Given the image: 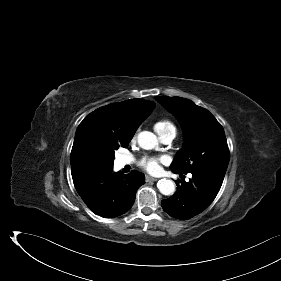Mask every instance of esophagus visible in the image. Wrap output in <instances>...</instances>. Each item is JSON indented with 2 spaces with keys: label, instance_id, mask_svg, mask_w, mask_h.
Segmentation results:
<instances>
[{
  "label": "esophagus",
  "instance_id": "esophagus-1",
  "mask_svg": "<svg viewBox=\"0 0 281 281\" xmlns=\"http://www.w3.org/2000/svg\"><path fill=\"white\" fill-rule=\"evenodd\" d=\"M146 181L151 182V181H157V178L151 177V176H146Z\"/></svg>",
  "mask_w": 281,
  "mask_h": 281
}]
</instances>
